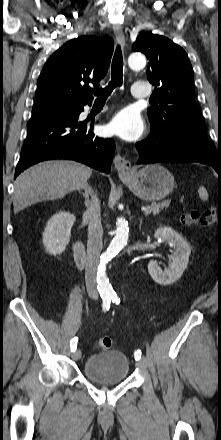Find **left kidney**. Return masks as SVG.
<instances>
[{"mask_svg": "<svg viewBox=\"0 0 221 440\" xmlns=\"http://www.w3.org/2000/svg\"><path fill=\"white\" fill-rule=\"evenodd\" d=\"M154 237L158 241H164L173 247L172 263L164 271L161 270L157 261L148 263V272L152 279L160 285H170L176 282L187 268L191 247L189 243L174 229L163 226L155 231Z\"/></svg>", "mask_w": 221, "mask_h": 440, "instance_id": "1", "label": "left kidney"}]
</instances>
